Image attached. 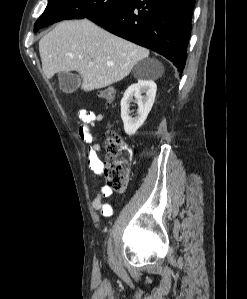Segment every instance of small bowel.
Here are the masks:
<instances>
[{
    "instance_id": "obj_1",
    "label": "small bowel",
    "mask_w": 247,
    "mask_h": 299,
    "mask_svg": "<svg viewBox=\"0 0 247 299\" xmlns=\"http://www.w3.org/2000/svg\"><path fill=\"white\" fill-rule=\"evenodd\" d=\"M80 124L78 127L79 135L82 140L89 144L87 152V162L89 168L96 174L100 173L103 168V163L99 157L100 145L97 143L96 136L92 133V128L104 118L103 114L95 113L89 110L79 111ZM111 195V189L106 185H101L93 199V207L98 210L102 216L109 217L113 214L111 204L104 202V198Z\"/></svg>"
}]
</instances>
